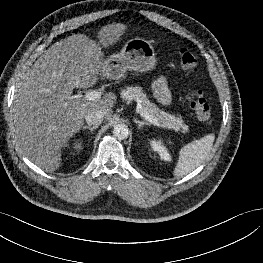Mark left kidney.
Instances as JSON below:
<instances>
[{"label": "left kidney", "instance_id": "1", "mask_svg": "<svg viewBox=\"0 0 263 263\" xmlns=\"http://www.w3.org/2000/svg\"><path fill=\"white\" fill-rule=\"evenodd\" d=\"M151 146L154 151H157L159 153L162 159L167 161L170 160V155L160 140H152Z\"/></svg>", "mask_w": 263, "mask_h": 263}]
</instances>
